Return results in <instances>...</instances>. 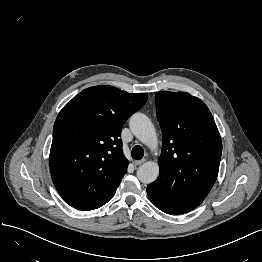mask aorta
<instances>
[{
	"mask_svg": "<svg viewBox=\"0 0 262 262\" xmlns=\"http://www.w3.org/2000/svg\"><path fill=\"white\" fill-rule=\"evenodd\" d=\"M130 129L133 134L146 146L154 147L157 144V135L151 120L142 113H135L130 118ZM159 175L157 162L149 161L137 169V177L144 184L154 182Z\"/></svg>",
	"mask_w": 262,
	"mask_h": 262,
	"instance_id": "aorta-1",
	"label": "aorta"
}]
</instances>
